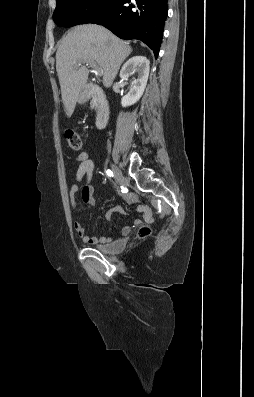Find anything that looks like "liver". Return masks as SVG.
Segmentation results:
<instances>
[{"label": "liver", "mask_w": 254, "mask_h": 397, "mask_svg": "<svg viewBox=\"0 0 254 397\" xmlns=\"http://www.w3.org/2000/svg\"><path fill=\"white\" fill-rule=\"evenodd\" d=\"M131 47L99 25L73 28L56 52V71L67 117H71L79 95L87 83L89 70L78 63L94 61L103 70V85L110 87Z\"/></svg>", "instance_id": "obj_1"}]
</instances>
